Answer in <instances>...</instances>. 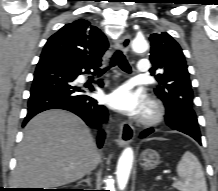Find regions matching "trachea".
I'll use <instances>...</instances> for the list:
<instances>
[{"instance_id":"1","label":"trachea","mask_w":218,"mask_h":191,"mask_svg":"<svg viewBox=\"0 0 218 191\" xmlns=\"http://www.w3.org/2000/svg\"><path fill=\"white\" fill-rule=\"evenodd\" d=\"M116 64L119 65V67H120L123 71H125V72H127V73H131V67H130V65L128 64L127 60H126L125 55H124L123 52L120 51V50H117V51L114 53V55H113V57H112V59H111V62H110V65H111V66H114V65H116ZM108 69H109V66L103 68V69L101 70V72H105V71H107Z\"/></svg>"}]
</instances>
